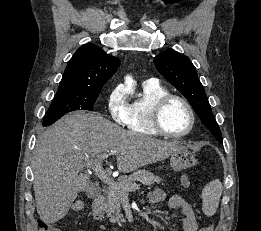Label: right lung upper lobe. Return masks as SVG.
<instances>
[{
	"instance_id": "obj_1",
	"label": "right lung upper lobe",
	"mask_w": 261,
	"mask_h": 231,
	"mask_svg": "<svg viewBox=\"0 0 261 231\" xmlns=\"http://www.w3.org/2000/svg\"><path fill=\"white\" fill-rule=\"evenodd\" d=\"M120 60L94 44L80 47L68 61L58 91L101 90Z\"/></svg>"
}]
</instances>
